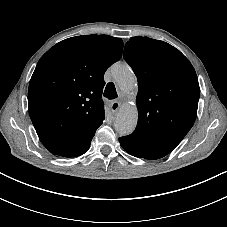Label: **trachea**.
I'll return each mask as SVG.
<instances>
[{"label": "trachea", "mask_w": 227, "mask_h": 227, "mask_svg": "<svg viewBox=\"0 0 227 227\" xmlns=\"http://www.w3.org/2000/svg\"><path fill=\"white\" fill-rule=\"evenodd\" d=\"M104 97H106L110 100L116 99L118 97L115 85L112 82L107 84L105 91H104Z\"/></svg>", "instance_id": "trachea-1"}]
</instances>
